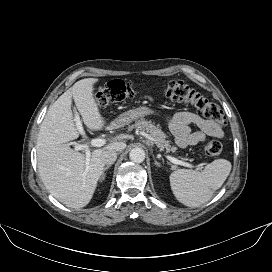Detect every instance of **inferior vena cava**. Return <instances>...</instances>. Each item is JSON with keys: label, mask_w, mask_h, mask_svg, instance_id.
Returning <instances> with one entry per match:
<instances>
[{"label": "inferior vena cava", "mask_w": 272, "mask_h": 272, "mask_svg": "<svg viewBox=\"0 0 272 272\" xmlns=\"http://www.w3.org/2000/svg\"><path fill=\"white\" fill-rule=\"evenodd\" d=\"M117 159V152L114 150H104L101 154V160L106 165L113 164Z\"/></svg>", "instance_id": "inferior-vena-cava-1"}]
</instances>
